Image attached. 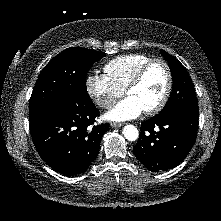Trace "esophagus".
Here are the masks:
<instances>
[{"mask_svg": "<svg viewBox=\"0 0 221 221\" xmlns=\"http://www.w3.org/2000/svg\"><path fill=\"white\" fill-rule=\"evenodd\" d=\"M123 125H124L123 123H117V122H112V123H111V127H113V128L121 127V126H123Z\"/></svg>", "mask_w": 221, "mask_h": 221, "instance_id": "1", "label": "esophagus"}]
</instances>
